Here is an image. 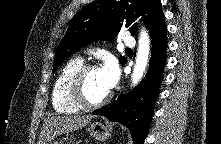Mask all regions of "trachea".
<instances>
[{"instance_id": "3493384b", "label": "trachea", "mask_w": 221, "mask_h": 144, "mask_svg": "<svg viewBox=\"0 0 221 144\" xmlns=\"http://www.w3.org/2000/svg\"><path fill=\"white\" fill-rule=\"evenodd\" d=\"M126 50H130V48H126Z\"/></svg>"}]
</instances>
